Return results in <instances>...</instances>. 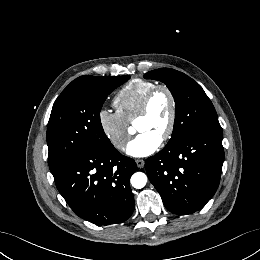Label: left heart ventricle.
<instances>
[{
    "mask_svg": "<svg viewBox=\"0 0 260 260\" xmlns=\"http://www.w3.org/2000/svg\"><path fill=\"white\" fill-rule=\"evenodd\" d=\"M170 109L168 95L160 91L152 99L148 114L135 122L136 131L148 132L161 139L169 122Z\"/></svg>",
    "mask_w": 260,
    "mask_h": 260,
    "instance_id": "left-heart-ventricle-1",
    "label": "left heart ventricle"
}]
</instances>
